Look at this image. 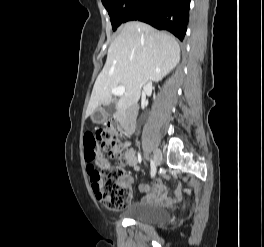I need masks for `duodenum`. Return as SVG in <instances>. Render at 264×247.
I'll return each instance as SVG.
<instances>
[{
  "label": "duodenum",
  "instance_id": "duodenum-1",
  "mask_svg": "<svg viewBox=\"0 0 264 247\" xmlns=\"http://www.w3.org/2000/svg\"><path fill=\"white\" fill-rule=\"evenodd\" d=\"M137 107L130 106L121 116L120 123L127 134H132L136 127Z\"/></svg>",
  "mask_w": 264,
  "mask_h": 247
}]
</instances>
